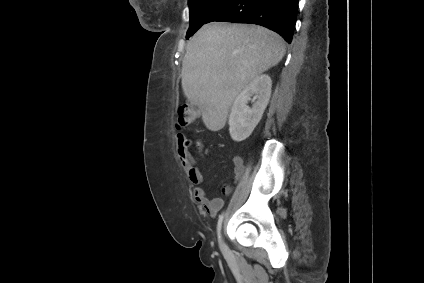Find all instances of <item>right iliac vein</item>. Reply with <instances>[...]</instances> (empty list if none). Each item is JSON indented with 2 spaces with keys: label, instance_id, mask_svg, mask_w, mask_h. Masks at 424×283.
Here are the masks:
<instances>
[{
  "label": "right iliac vein",
  "instance_id": "1",
  "mask_svg": "<svg viewBox=\"0 0 424 283\" xmlns=\"http://www.w3.org/2000/svg\"><path fill=\"white\" fill-rule=\"evenodd\" d=\"M219 245H220V248H221L222 251H224V252L227 251V246L222 239H220Z\"/></svg>",
  "mask_w": 424,
  "mask_h": 283
}]
</instances>
